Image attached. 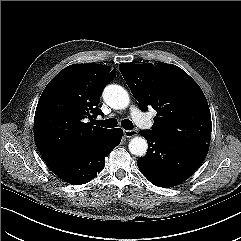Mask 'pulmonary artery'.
Returning <instances> with one entry per match:
<instances>
[{
  "label": "pulmonary artery",
  "mask_w": 241,
  "mask_h": 241,
  "mask_svg": "<svg viewBox=\"0 0 241 241\" xmlns=\"http://www.w3.org/2000/svg\"><path fill=\"white\" fill-rule=\"evenodd\" d=\"M131 115L134 119V121L142 127H149L150 126V122L149 120L141 113V111L136 108V107H132L131 108Z\"/></svg>",
  "instance_id": "obj_1"
}]
</instances>
